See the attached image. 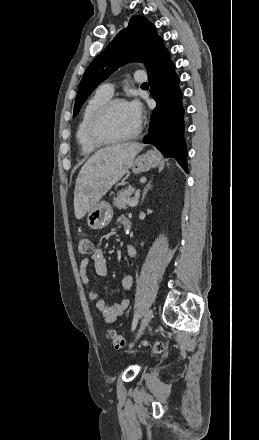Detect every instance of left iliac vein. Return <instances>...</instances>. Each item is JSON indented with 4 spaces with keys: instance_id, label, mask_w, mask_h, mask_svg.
<instances>
[{
    "instance_id": "1",
    "label": "left iliac vein",
    "mask_w": 259,
    "mask_h": 440,
    "mask_svg": "<svg viewBox=\"0 0 259 440\" xmlns=\"http://www.w3.org/2000/svg\"><path fill=\"white\" fill-rule=\"evenodd\" d=\"M152 316H153V311H152V309H150V310H148V311L146 312V314L144 315V318H143L142 323H141V325H140V329H139V331H138V333H137V336H136L135 341H137V340L139 339V337L142 335L143 331H144L145 328L148 326V324H149V322H150Z\"/></svg>"
}]
</instances>
